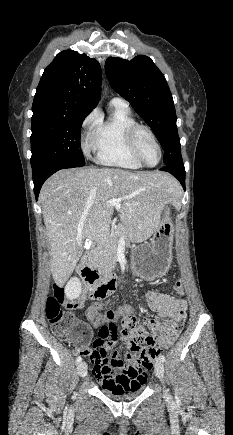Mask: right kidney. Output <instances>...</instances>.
Returning <instances> with one entry per match:
<instances>
[{
  "label": "right kidney",
  "mask_w": 233,
  "mask_h": 435,
  "mask_svg": "<svg viewBox=\"0 0 233 435\" xmlns=\"http://www.w3.org/2000/svg\"><path fill=\"white\" fill-rule=\"evenodd\" d=\"M82 291L81 282L77 277L71 278L65 288H64V294L66 299L68 300H74L79 297Z\"/></svg>",
  "instance_id": "obj_1"
}]
</instances>
